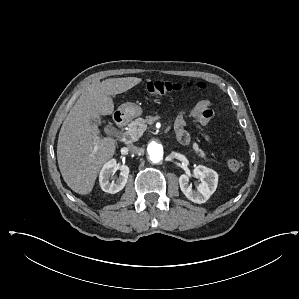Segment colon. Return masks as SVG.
Listing matches in <instances>:
<instances>
[{
    "instance_id": "5ec220e1",
    "label": "colon",
    "mask_w": 299,
    "mask_h": 299,
    "mask_svg": "<svg viewBox=\"0 0 299 299\" xmlns=\"http://www.w3.org/2000/svg\"><path fill=\"white\" fill-rule=\"evenodd\" d=\"M198 87H203L202 84H197ZM182 89V85L179 83H173L163 80H152L146 82L141 90L149 95L160 96L166 95L174 92H178ZM227 165L231 170H238L241 167L240 160L229 157L227 160Z\"/></svg>"
}]
</instances>
